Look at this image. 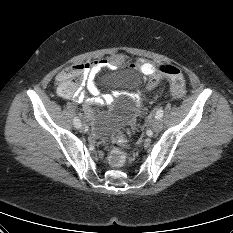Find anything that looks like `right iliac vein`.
I'll return each instance as SVG.
<instances>
[{
    "mask_svg": "<svg viewBox=\"0 0 233 233\" xmlns=\"http://www.w3.org/2000/svg\"><path fill=\"white\" fill-rule=\"evenodd\" d=\"M79 132L80 133H86L87 132V127L86 126H80L79 127Z\"/></svg>",
    "mask_w": 233,
    "mask_h": 233,
    "instance_id": "obj_1",
    "label": "right iliac vein"
}]
</instances>
